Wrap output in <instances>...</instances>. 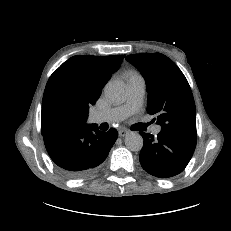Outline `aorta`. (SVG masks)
<instances>
[{"instance_id":"aorta-1","label":"aorta","mask_w":231,"mask_h":231,"mask_svg":"<svg viewBox=\"0 0 231 231\" xmlns=\"http://www.w3.org/2000/svg\"><path fill=\"white\" fill-rule=\"evenodd\" d=\"M126 85L119 80L110 81L105 86V95L115 103L122 102L126 97ZM125 145L130 151L138 152L143 147V138L137 132H130L125 137Z\"/></svg>"}]
</instances>
